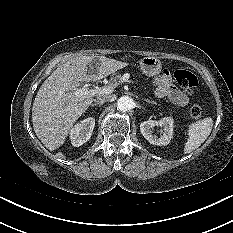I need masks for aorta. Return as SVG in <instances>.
I'll return each mask as SVG.
<instances>
[{
	"mask_svg": "<svg viewBox=\"0 0 233 233\" xmlns=\"http://www.w3.org/2000/svg\"><path fill=\"white\" fill-rule=\"evenodd\" d=\"M133 99L129 96H122L117 101V109L121 112L129 111L133 108Z\"/></svg>",
	"mask_w": 233,
	"mask_h": 233,
	"instance_id": "762f6f07",
	"label": "aorta"
}]
</instances>
